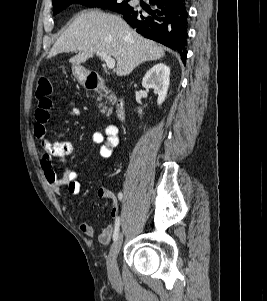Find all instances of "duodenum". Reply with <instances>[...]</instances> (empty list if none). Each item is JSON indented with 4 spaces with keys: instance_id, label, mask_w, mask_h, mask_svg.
<instances>
[{
    "instance_id": "410a0bca",
    "label": "duodenum",
    "mask_w": 267,
    "mask_h": 301,
    "mask_svg": "<svg viewBox=\"0 0 267 301\" xmlns=\"http://www.w3.org/2000/svg\"><path fill=\"white\" fill-rule=\"evenodd\" d=\"M85 86L89 90H102L105 92H109V87L105 82L98 76L87 74L85 76ZM126 115V103L125 100L120 97L116 101V116L117 119L123 121Z\"/></svg>"
}]
</instances>
